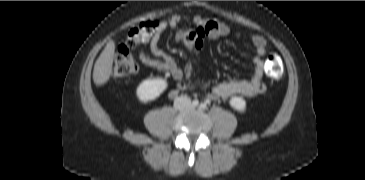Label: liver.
Wrapping results in <instances>:
<instances>
[{"mask_svg":"<svg viewBox=\"0 0 365 180\" xmlns=\"http://www.w3.org/2000/svg\"><path fill=\"white\" fill-rule=\"evenodd\" d=\"M115 54V42L110 40L95 62L93 81L97 86L104 85L112 75V66Z\"/></svg>","mask_w":365,"mask_h":180,"instance_id":"6515ba94","label":"liver"}]
</instances>
